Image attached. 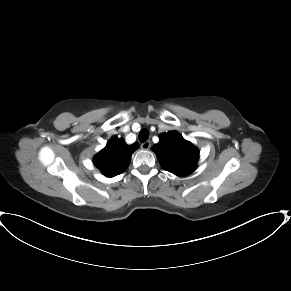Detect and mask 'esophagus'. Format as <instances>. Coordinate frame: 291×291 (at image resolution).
I'll return each instance as SVG.
<instances>
[{
	"label": "esophagus",
	"mask_w": 291,
	"mask_h": 291,
	"mask_svg": "<svg viewBox=\"0 0 291 291\" xmlns=\"http://www.w3.org/2000/svg\"><path fill=\"white\" fill-rule=\"evenodd\" d=\"M150 147H151V144H150L149 141H146V142H144V143L141 144V148L143 150H148Z\"/></svg>",
	"instance_id": "obj_1"
}]
</instances>
